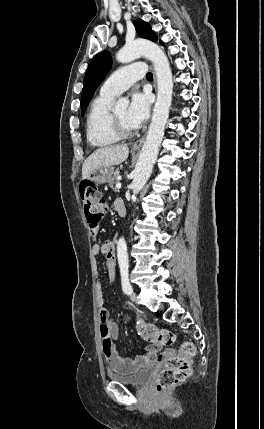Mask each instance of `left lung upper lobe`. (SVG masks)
<instances>
[{
  "mask_svg": "<svg viewBox=\"0 0 264 429\" xmlns=\"http://www.w3.org/2000/svg\"><path fill=\"white\" fill-rule=\"evenodd\" d=\"M138 35L152 41H157L156 34L151 30L148 23L141 19L133 22ZM112 65L110 55L107 51L97 54L91 61L84 79L81 96V115L86 111L89 101L94 95L95 90L104 80Z\"/></svg>",
  "mask_w": 264,
  "mask_h": 429,
  "instance_id": "5c2ea615",
  "label": "left lung upper lobe"
}]
</instances>
